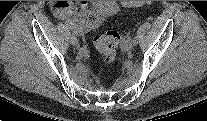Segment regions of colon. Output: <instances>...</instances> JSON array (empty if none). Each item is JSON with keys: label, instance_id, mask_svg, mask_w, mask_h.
<instances>
[{"label": "colon", "instance_id": "colon-1", "mask_svg": "<svg viewBox=\"0 0 207 121\" xmlns=\"http://www.w3.org/2000/svg\"><path fill=\"white\" fill-rule=\"evenodd\" d=\"M140 2L131 1L130 6H137ZM120 35L116 31H108L94 37V46L106 62H113L117 56Z\"/></svg>", "mask_w": 207, "mask_h": 121}]
</instances>
